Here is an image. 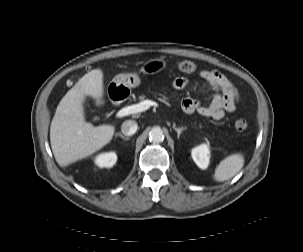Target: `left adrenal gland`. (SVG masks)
I'll return each instance as SVG.
<instances>
[{
  "mask_svg": "<svg viewBox=\"0 0 303 252\" xmlns=\"http://www.w3.org/2000/svg\"><path fill=\"white\" fill-rule=\"evenodd\" d=\"M173 129L177 132V134H178V139H179L180 136H181V134H182V132H183L184 130H186V127L177 128L176 125L173 124Z\"/></svg>",
  "mask_w": 303,
  "mask_h": 252,
  "instance_id": "left-adrenal-gland-1",
  "label": "left adrenal gland"
}]
</instances>
